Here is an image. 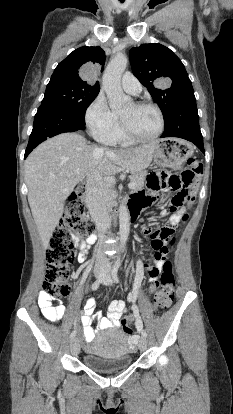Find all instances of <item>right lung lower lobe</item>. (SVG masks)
<instances>
[{
  "instance_id": "98d812e1",
  "label": "right lung lower lobe",
  "mask_w": 233,
  "mask_h": 414,
  "mask_svg": "<svg viewBox=\"0 0 233 414\" xmlns=\"http://www.w3.org/2000/svg\"><path fill=\"white\" fill-rule=\"evenodd\" d=\"M85 128L83 116L50 104H41L35 117L33 130L24 158L41 142L64 132H74Z\"/></svg>"
}]
</instances>
